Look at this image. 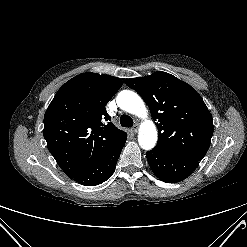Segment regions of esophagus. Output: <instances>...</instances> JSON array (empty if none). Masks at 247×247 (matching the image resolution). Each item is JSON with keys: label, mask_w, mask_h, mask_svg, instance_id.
<instances>
[{"label": "esophagus", "mask_w": 247, "mask_h": 247, "mask_svg": "<svg viewBox=\"0 0 247 247\" xmlns=\"http://www.w3.org/2000/svg\"><path fill=\"white\" fill-rule=\"evenodd\" d=\"M132 132L133 133H137V131H138V124H135L133 127H132Z\"/></svg>", "instance_id": "obj_1"}]
</instances>
